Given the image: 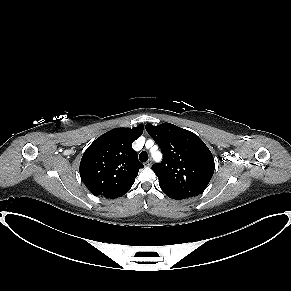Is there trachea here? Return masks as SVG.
Returning a JSON list of instances; mask_svg holds the SVG:
<instances>
[{
    "instance_id": "3493384b",
    "label": "trachea",
    "mask_w": 291,
    "mask_h": 291,
    "mask_svg": "<svg viewBox=\"0 0 291 291\" xmlns=\"http://www.w3.org/2000/svg\"><path fill=\"white\" fill-rule=\"evenodd\" d=\"M139 160L141 162H146L148 160V154L147 152L145 151H142L140 154H139Z\"/></svg>"
}]
</instances>
